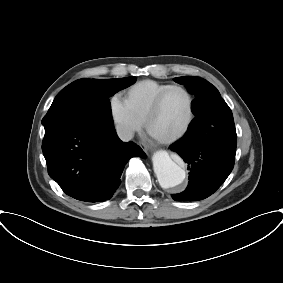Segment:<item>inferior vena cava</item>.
I'll use <instances>...</instances> for the list:
<instances>
[{"mask_svg":"<svg viewBox=\"0 0 283 283\" xmlns=\"http://www.w3.org/2000/svg\"><path fill=\"white\" fill-rule=\"evenodd\" d=\"M116 131L122 141H130L134 136L133 131L126 126L118 125Z\"/></svg>","mask_w":283,"mask_h":283,"instance_id":"602c4592","label":"inferior vena cava"}]
</instances>
